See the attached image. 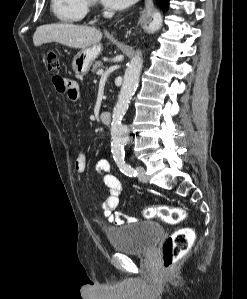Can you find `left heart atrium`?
Masks as SVG:
<instances>
[{"instance_id": "1", "label": "left heart atrium", "mask_w": 247, "mask_h": 299, "mask_svg": "<svg viewBox=\"0 0 247 299\" xmlns=\"http://www.w3.org/2000/svg\"><path fill=\"white\" fill-rule=\"evenodd\" d=\"M134 0H101V2L112 9H122L130 5Z\"/></svg>"}]
</instances>
